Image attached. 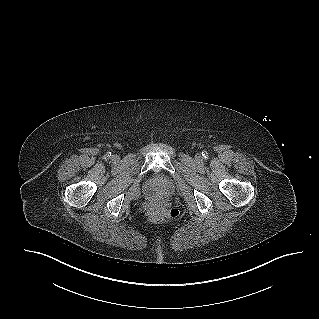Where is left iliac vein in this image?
<instances>
[{
	"instance_id": "obj_1",
	"label": "left iliac vein",
	"mask_w": 319,
	"mask_h": 319,
	"mask_svg": "<svg viewBox=\"0 0 319 319\" xmlns=\"http://www.w3.org/2000/svg\"><path fill=\"white\" fill-rule=\"evenodd\" d=\"M201 159H202V157H201L200 155H197V156H196V160H197V161H201Z\"/></svg>"
}]
</instances>
